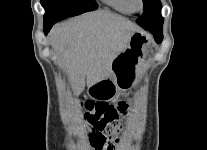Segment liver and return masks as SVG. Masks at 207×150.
Instances as JSON below:
<instances>
[{
  "label": "liver",
  "mask_w": 207,
  "mask_h": 150,
  "mask_svg": "<svg viewBox=\"0 0 207 150\" xmlns=\"http://www.w3.org/2000/svg\"><path fill=\"white\" fill-rule=\"evenodd\" d=\"M140 28L118 14L96 11L59 23L49 34L74 94L112 76V63Z\"/></svg>",
  "instance_id": "1"
}]
</instances>
